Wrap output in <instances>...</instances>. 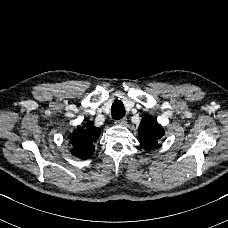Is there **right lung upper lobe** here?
Wrapping results in <instances>:
<instances>
[{
    "label": "right lung upper lobe",
    "instance_id": "right-lung-upper-lobe-1",
    "mask_svg": "<svg viewBox=\"0 0 228 228\" xmlns=\"http://www.w3.org/2000/svg\"><path fill=\"white\" fill-rule=\"evenodd\" d=\"M100 136V129L92 121L78 126L68 135L71 153L80 159H88L94 153V143Z\"/></svg>",
    "mask_w": 228,
    "mask_h": 228
}]
</instances>
